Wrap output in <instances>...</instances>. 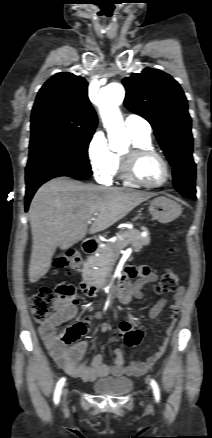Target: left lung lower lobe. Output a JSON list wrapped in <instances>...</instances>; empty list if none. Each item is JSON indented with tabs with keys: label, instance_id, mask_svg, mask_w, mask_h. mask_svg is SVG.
Wrapping results in <instances>:
<instances>
[{
	"label": "left lung lower lobe",
	"instance_id": "obj_1",
	"mask_svg": "<svg viewBox=\"0 0 212 438\" xmlns=\"http://www.w3.org/2000/svg\"><path fill=\"white\" fill-rule=\"evenodd\" d=\"M172 166L174 188L183 196L196 199V165L193 161L192 154L177 159Z\"/></svg>",
	"mask_w": 212,
	"mask_h": 438
}]
</instances>
